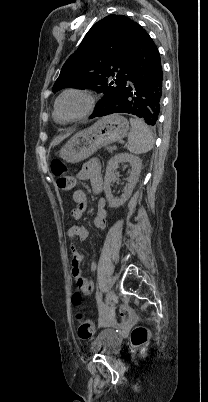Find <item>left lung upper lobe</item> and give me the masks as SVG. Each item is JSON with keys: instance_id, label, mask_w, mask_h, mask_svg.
<instances>
[{"instance_id": "5c2ea615", "label": "left lung upper lobe", "mask_w": 208, "mask_h": 402, "mask_svg": "<svg viewBox=\"0 0 208 402\" xmlns=\"http://www.w3.org/2000/svg\"><path fill=\"white\" fill-rule=\"evenodd\" d=\"M134 23L124 15H108L94 24L63 65L53 92L68 86L102 92L104 96L90 118L95 117L112 101L128 72V44Z\"/></svg>"}]
</instances>
